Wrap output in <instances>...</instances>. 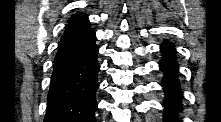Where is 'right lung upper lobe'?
<instances>
[{
  "instance_id": "right-lung-upper-lobe-1",
  "label": "right lung upper lobe",
  "mask_w": 221,
  "mask_h": 122,
  "mask_svg": "<svg viewBox=\"0 0 221 122\" xmlns=\"http://www.w3.org/2000/svg\"><path fill=\"white\" fill-rule=\"evenodd\" d=\"M88 19H87V15L85 14H78V15H74L71 17L70 21H69V24L67 26V30L83 23V22H86ZM66 30V31H67Z\"/></svg>"
}]
</instances>
